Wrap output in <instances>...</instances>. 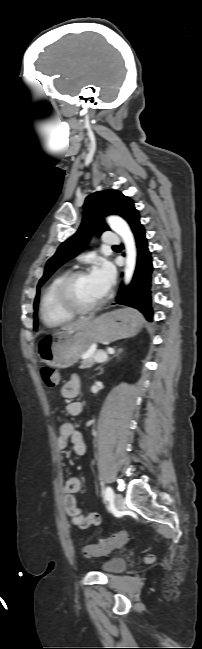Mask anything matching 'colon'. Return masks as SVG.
<instances>
[{
	"mask_svg": "<svg viewBox=\"0 0 202 649\" xmlns=\"http://www.w3.org/2000/svg\"><path fill=\"white\" fill-rule=\"evenodd\" d=\"M41 378L47 387L54 388L60 384L59 371L48 366H44L40 370ZM130 539L126 532H119L108 539H103L93 545H85L82 547V552L85 557H94L106 554L109 551L124 546Z\"/></svg>",
	"mask_w": 202,
	"mask_h": 649,
	"instance_id": "obj_1",
	"label": "colon"
}]
</instances>
